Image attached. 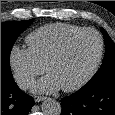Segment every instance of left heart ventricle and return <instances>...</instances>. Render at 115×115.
Here are the masks:
<instances>
[{
	"label": "left heart ventricle",
	"mask_w": 115,
	"mask_h": 115,
	"mask_svg": "<svg viewBox=\"0 0 115 115\" xmlns=\"http://www.w3.org/2000/svg\"><path fill=\"white\" fill-rule=\"evenodd\" d=\"M99 51L96 35L87 33L77 38L65 55L48 71L61 87L75 84L93 67Z\"/></svg>",
	"instance_id": "obj_1"
}]
</instances>
